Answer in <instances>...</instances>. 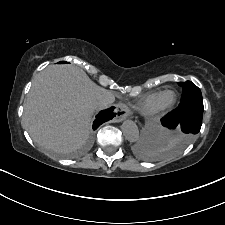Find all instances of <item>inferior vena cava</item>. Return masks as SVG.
Returning <instances> with one entry per match:
<instances>
[{
  "label": "inferior vena cava",
  "mask_w": 225,
  "mask_h": 225,
  "mask_svg": "<svg viewBox=\"0 0 225 225\" xmlns=\"http://www.w3.org/2000/svg\"><path fill=\"white\" fill-rule=\"evenodd\" d=\"M112 103H113L112 99H103L97 103V108L104 109V108L109 107Z\"/></svg>",
  "instance_id": "1"
}]
</instances>
